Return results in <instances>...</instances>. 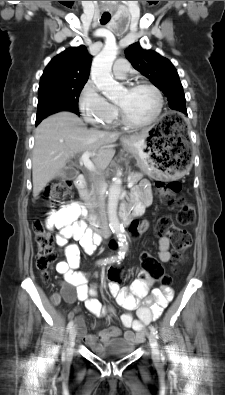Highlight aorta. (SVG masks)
<instances>
[{"label": "aorta", "mask_w": 225, "mask_h": 395, "mask_svg": "<svg viewBox=\"0 0 225 395\" xmlns=\"http://www.w3.org/2000/svg\"><path fill=\"white\" fill-rule=\"evenodd\" d=\"M117 54L118 47L115 44H106L93 59L91 67V78L97 89L110 100H116L123 91L122 85L115 81L111 75L112 65ZM120 193L121 180L117 178L109 188L107 213L109 226L118 238V254L121 258L128 250V242L124 227L117 216Z\"/></svg>", "instance_id": "aorta-1"}]
</instances>
